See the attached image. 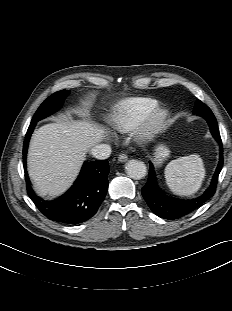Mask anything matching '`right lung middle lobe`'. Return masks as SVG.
Wrapping results in <instances>:
<instances>
[{
  "instance_id": "dd1d6c3e",
  "label": "right lung middle lobe",
  "mask_w": 232,
  "mask_h": 311,
  "mask_svg": "<svg viewBox=\"0 0 232 311\" xmlns=\"http://www.w3.org/2000/svg\"><path fill=\"white\" fill-rule=\"evenodd\" d=\"M68 94L69 90H61L48 97L40 105L31 122L37 123L39 120L59 110Z\"/></svg>"
}]
</instances>
